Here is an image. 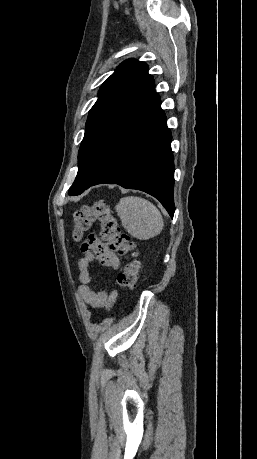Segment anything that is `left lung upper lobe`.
<instances>
[{
  "label": "left lung upper lobe",
  "mask_w": 257,
  "mask_h": 459,
  "mask_svg": "<svg viewBox=\"0 0 257 459\" xmlns=\"http://www.w3.org/2000/svg\"><path fill=\"white\" fill-rule=\"evenodd\" d=\"M144 62L129 59L119 65L102 84L98 100L89 111L85 134L78 153V173L69 195H79L90 187L99 171L103 142L109 130L131 109L151 84Z\"/></svg>",
  "instance_id": "left-lung-upper-lobe-1"
}]
</instances>
